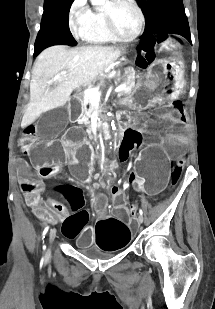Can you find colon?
<instances>
[{"label": "colon", "instance_id": "1", "mask_svg": "<svg viewBox=\"0 0 215 309\" xmlns=\"http://www.w3.org/2000/svg\"><path fill=\"white\" fill-rule=\"evenodd\" d=\"M43 159L45 160V162L42 164L44 166L43 170H46L48 165H53L57 163L55 158H53L52 156H44ZM77 221L80 223H84L85 216L83 214H78Z\"/></svg>", "mask_w": 215, "mask_h": 309}]
</instances>
